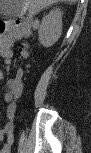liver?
<instances>
[{"instance_id": "liver-1", "label": "liver", "mask_w": 91, "mask_h": 153, "mask_svg": "<svg viewBox=\"0 0 91 153\" xmlns=\"http://www.w3.org/2000/svg\"><path fill=\"white\" fill-rule=\"evenodd\" d=\"M22 2L27 5H31L33 11H37L42 7L52 4L53 2H55V0H25Z\"/></svg>"}]
</instances>
